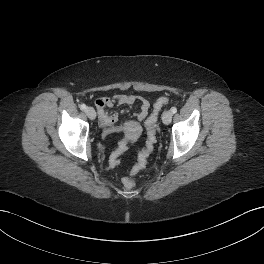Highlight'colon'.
I'll list each match as a JSON object with an SVG mask.
<instances>
[{
    "label": "colon",
    "mask_w": 264,
    "mask_h": 264,
    "mask_svg": "<svg viewBox=\"0 0 264 264\" xmlns=\"http://www.w3.org/2000/svg\"><path fill=\"white\" fill-rule=\"evenodd\" d=\"M169 99L167 96H162L158 98L154 104L153 111L146 120V131L147 139L144 149L139 153L137 163L134 165L129 176L123 179V185L125 188L130 189L134 186V175L145 168L147 164L148 157L153 151L154 145L156 143L157 135V119L160 110L168 103Z\"/></svg>",
    "instance_id": "1"
}]
</instances>
